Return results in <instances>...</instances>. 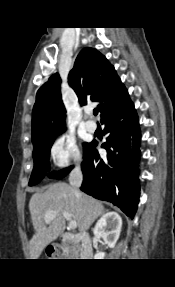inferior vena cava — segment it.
I'll list each match as a JSON object with an SVG mask.
<instances>
[{
	"mask_svg": "<svg viewBox=\"0 0 175 287\" xmlns=\"http://www.w3.org/2000/svg\"><path fill=\"white\" fill-rule=\"evenodd\" d=\"M83 181V174L80 165H77L69 175L70 185L76 190L81 186Z\"/></svg>",
	"mask_w": 175,
	"mask_h": 287,
	"instance_id": "602c4592",
	"label": "inferior vena cava"
}]
</instances>
